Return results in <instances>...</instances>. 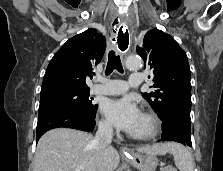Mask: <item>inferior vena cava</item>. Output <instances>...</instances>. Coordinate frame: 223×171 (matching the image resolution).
Instances as JSON below:
<instances>
[{
	"label": "inferior vena cava",
	"instance_id": "inferior-vena-cava-1",
	"mask_svg": "<svg viewBox=\"0 0 223 171\" xmlns=\"http://www.w3.org/2000/svg\"><path fill=\"white\" fill-rule=\"evenodd\" d=\"M112 135H113V128L110 124L108 123L99 124L94 142L100 154L106 147L110 146L112 141ZM100 160L101 158L98 160L99 163L96 166V171H105L103 165L100 163Z\"/></svg>",
	"mask_w": 223,
	"mask_h": 171
}]
</instances>
